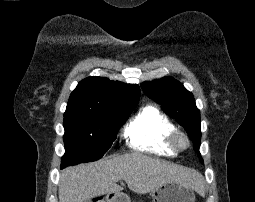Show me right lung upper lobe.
Returning a JSON list of instances; mask_svg holds the SVG:
<instances>
[{"instance_id":"cb5924a9","label":"right lung upper lobe","mask_w":255,"mask_h":202,"mask_svg":"<svg viewBox=\"0 0 255 202\" xmlns=\"http://www.w3.org/2000/svg\"><path fill=\"white\" fill-rule=\"evenodd\" d=\"M140 88L135 84L88 77L71 93L64 116L103 114L137 105Z\"/></svg>"}]
</instances>
